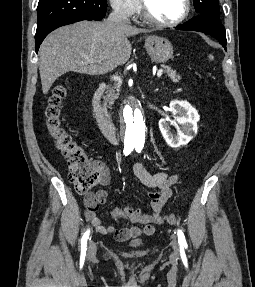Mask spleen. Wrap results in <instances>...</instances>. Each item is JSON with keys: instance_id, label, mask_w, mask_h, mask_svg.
<instances>
[{"instance_id": "1", "label": "spleen", "mask_w": 255, "mask_h": 287, "mask_svg": "<svg viewBox=\"0 0 255 287\" xmlns=\"http://www.w3.org/2000/svg\"><path fill=\"white\" fill-rule=\"evenodd\" d=\"M210 60H212V56H209Z\"/></svg>"}]
</instances>
